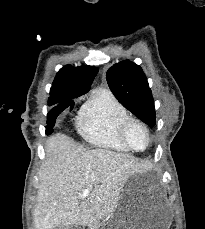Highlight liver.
Returning a JSON list of instances; mask_svg holds the SVG:
<instances>
[{
    "label": "liver",
    "instance_id": "1",
    "mask_svg": "<svg viewBox=\"0 0 205 229\" xmlns=\"http://www.w3.org/2000/svg\"><path fill=\"white\" fill-rule=\"evenodd\" d=\"M33 212L35 229L91 226L115 209L127 179L141 169L128 154L88 149L58 133L45 146ZM90 188L86 198H80Z\"/></svg>",
    "mask_w": 205,
    "mask_h": 229
}]
</instances>
